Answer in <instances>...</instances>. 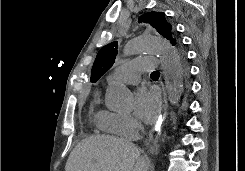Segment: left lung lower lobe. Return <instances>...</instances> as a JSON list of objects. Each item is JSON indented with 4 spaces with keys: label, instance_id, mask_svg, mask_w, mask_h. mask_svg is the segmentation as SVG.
Here are the masks:
<instances>
[{
    "label": "left lung lower lobe",
    "instance_id": "obj_1",
    "mask_svg": "<svg viewBox=\"0 0 245 171\" xmlns=\"http://www.w3.org/2000/svg\"><path fill=\"white\" fill-rule=\"evenodd\" d=\"M176 67H181V75L183 77H186L188 73L187 67H191V62H187V61L176 62Z\"/></svg>",
    "mask_w": 245,
    "mask_h": 171
}]
</instances>
